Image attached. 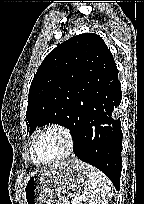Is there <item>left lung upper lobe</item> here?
I'll list each match as a JSON object with an SVG mask.
<instances>
[{
	"label": "left lung upper lobe",
	"instance_id": "left-lung-upper-lobe-1",
	"mask_svg": "<svg viewBox=\"0 0 144 204\" xmlns=\"http://www.w3.org/2000/svg\"><path fill=\"white\" fill-rule=\"evenodd\" d=\"M113 61L104 40L92 33L74 36L52 50L39 66L28 95L27 132L57 123L72 136L82 125L90 85L100 64Z\"/></svg>",
	"mask_w": 144,
	"mask_h": 204
}]
</instances>
